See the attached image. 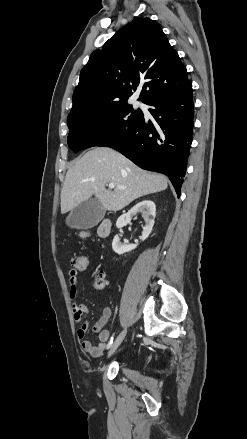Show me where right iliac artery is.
Masks as SVG:
<instances>
[{"mask_svg": "<svg viewBox=\"0 0 247 439\" xmlns=\"http://www.w3.org/2000/svg\"><path fill=\"white\" fill-rule=\"evenodd\" d=\"M113 343V337H111V340L109 341L107 348H109L111 346V344Z\"/></svg>", "mask_w": 247, "mask_h": 439, "instance_id": "obj_1", "label": "right iliac artery"}]
</instances>
